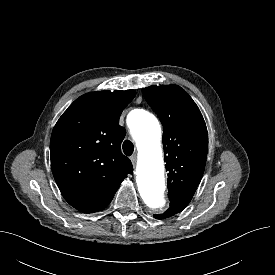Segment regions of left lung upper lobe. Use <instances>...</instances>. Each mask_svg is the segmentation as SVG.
<instances>
[{
	"mask_svg": "<svg viewBox=\"0 0 275 275\" xmlns=\"http://www.w3.org/2000/svg\"><path fill=\"white\" fill-rule=\"evenodd\" d=\"M144 97L163 125L168 196H193L204 173L208 132L189 94L177 85L150 86Z\"/></svg>",
	"mask_w": 275,
	"mask_h": 275,
	"instance_id": "1",
	"label": "left lung upper lobe"
}]
</instances>
